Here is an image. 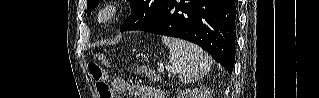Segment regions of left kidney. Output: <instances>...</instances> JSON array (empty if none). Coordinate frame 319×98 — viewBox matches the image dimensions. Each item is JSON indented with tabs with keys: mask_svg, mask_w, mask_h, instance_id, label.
Returning a JSON list of instances; mask_svg holds the SVG:
<instances>
[{
	"mask_svg": "<svg viewBox=\"0 0 319 98\" xmlns=\"http://www.w3.org/2000/svg\"><path fill=\"white\" fill-rule=\"evenodd\" d=\"M177 98H211V92L205 86L180 92Z\"/></svg>",
	"mask_w": 319,
	"mask_h": 98,
	"instance_id": "1",
	"label": "left kidney"
}]
</instances>
